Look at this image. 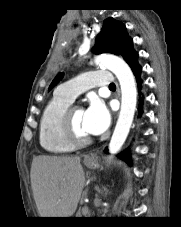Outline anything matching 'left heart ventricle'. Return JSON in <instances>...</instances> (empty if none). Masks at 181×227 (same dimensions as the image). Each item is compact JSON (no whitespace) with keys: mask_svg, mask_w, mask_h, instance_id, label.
<instances>
[{"mask_svg":"<svg viewBox=\"0 0 181 227\" xmlns=\"http://www.w3.org/2000/svg\"><path fill=\"white\" fill-rule=\"evenodd\" d=\"M73 122H74L75 129L79 134L85 135V136L90 135L84 127V111L82 109H77L74 111Z\"/></svg>","mask_w":181,"mask_h":227,"instance_id":"obj_1","label":"left heart ventricle"}]
</instances>
